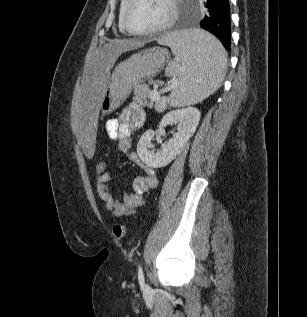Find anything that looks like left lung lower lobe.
I'll return each mask as SVG.
<instances>
[{
  "instance_id": "obj_1",
  "label": "left lung lower lobe",
  "mask_w": 307,
  "mask_h": 317,
  "mask_svg": "<svg viewBox=\"0 0 307 317\" xmlns=\"http://www.w3.org/2000/svg\"><path fill=\"white\" fill-rule=\"evenodd\" d=\"M206 13L200 26L214 34L229 50L231 45V22L229 0H204Z\"/></svg>"
}]
</instances>
